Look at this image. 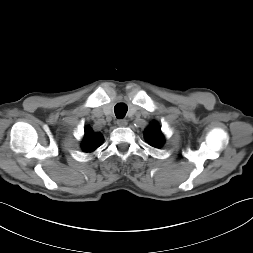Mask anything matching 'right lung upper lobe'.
<instances>
[{
    "label": "right lung upper lobe",
    "mask_w": 253,
    "mask_h": 253,
    "mask_svg": "<svg viewBox=\"0 0 253 253\" xmlns=\"http://www.w3.org/2000/svg\"><path fill=\"white\" fill-rule=\"evenodd\" d=\"M103 140L104 139L101 133H93L92 130L87 127L85 129L82 148L85 152H91L98 148L103 142Z\"/></svg>",
    "instance_id": "right-lung-upper-lobe-1"
}]
</instances>
